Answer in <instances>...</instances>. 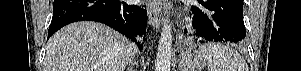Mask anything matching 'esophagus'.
<instances>
[{
	"label": "esophagus",
	"mask_w": 301,
	"mask_h": 71,
	"mask_svg": "<svg viewBox=\"0 0 301 71\" xmlns=\"http://www.w3.org/2000/svg\"><path fill=\"white\" fill-rule=\"evenodd\" d=\"M147 11H148L149 23L154 28L158 29L161 24L159 1L156 0L148 1Z\"/></svg>",
	"instance_id": "34e87169"
}]
</instances>
